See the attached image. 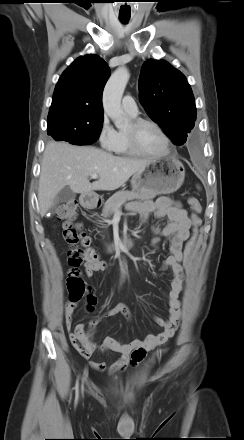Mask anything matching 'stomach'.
I'll return each instance as SVG.
<instances>
[{
    "label": "stomach",
    "instance_id": "obj_1",
    "mask_svg": "<svg viewBox=\"0 0 244 440\" xmlns=\"http://www.w3.org/2000/svg\"><path fill=\"white\" fill-rule=\"evenodd\" d=\"M185 169L175 157L152 159L146 167L131 178L134 192L145 195H161L176 192L184 182Z\"/></svg>",
    "mask_w": 244,
    "mask_h": 440
}]
</instances>
